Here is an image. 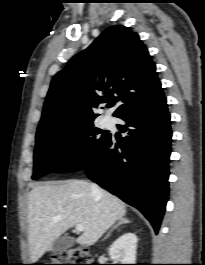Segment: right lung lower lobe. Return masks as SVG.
Segmentation results:
<instances>
[{
    "label": "right lung lower lobe",
    "instance_id": "1",
    "mask_svg": "<svg viewBox=\"0 0 205 265\" xmlns=\"http://www.w3.org/2000/svg\"><path fill=\"white\" fill-rule=\"evenodd\" d=\"M127 136L111 135L84 167L91 180L139 209L158 233L168 197L172 132L161 90L147 103L120 115Z\"/></svg>",
    "mask_w": 205,
    "mask_h": 265
}]
</instances>
